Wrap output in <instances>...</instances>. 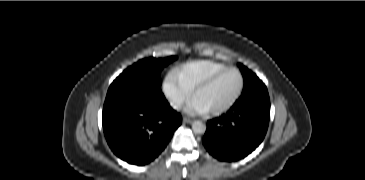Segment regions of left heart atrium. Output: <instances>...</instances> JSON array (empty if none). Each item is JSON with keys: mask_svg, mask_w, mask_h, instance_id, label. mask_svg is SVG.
<instances>
[{"mask_svg": "<svg viewBox=\"0 0 365 180\" xmlns=\"http://www.w3.org/2000/svg\"><path fill=\"white\" fill-rule=\"evenodd\" d=\"M187 110L191 113H198V114H202V113L206 112V110L200 104H198L195 100L191 101Z\"/></svg>", "mask_w": 365, "mask_h": 180, "instance_id": "1", "label": "left heart atrium"}]
</instances>
